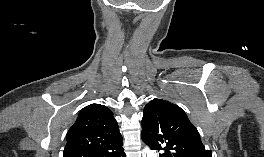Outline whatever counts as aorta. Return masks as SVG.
Segmentation results:
<instances>
[{
  "label": "aorta",
  "mask_w": 264,
  "mask_h": 157,
  "mask_svg": "<svg viewBox=\"0 0 264 157\" xmlns=\"http://www.w3.org/2000/svg\"><path fill=\"white\" fill-rule=\"evenodd\" d=\"M144 155L145 157H156V154L148 148L144 149Z\"/></svg>",
  "instance_id": "aorta-1"
}]
</instances>
